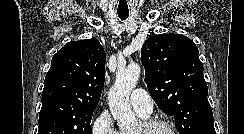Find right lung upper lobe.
<instances>
[{"label": "right lung upper lobe", "mask_w": 244, "mask_h": 134, "mask_svg": "<svg viewBox=\"0 0 244 134\" xmlns=\"http://www.w3.org/2000/svg\"><path fill=\"white\" fill-rule=\"evenodd\" d=\"M105 60L97 39L67 43L52 58L42 103L60 100L96 108L105 80Z\"/></svg>", "instance_id": "right-lung-upper-lobe-1"}]
</instances>
